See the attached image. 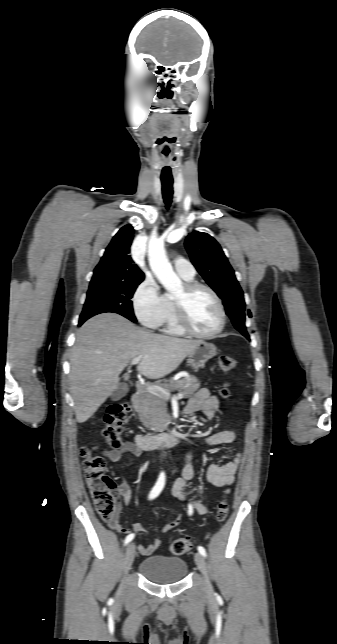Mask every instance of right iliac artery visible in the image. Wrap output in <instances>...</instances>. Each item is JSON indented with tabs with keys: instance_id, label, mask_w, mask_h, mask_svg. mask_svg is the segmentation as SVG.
I'll return each instance as SVG.
<instances>
[{
	"instance_id": "obj_1",
	"label": "right iliac artery",
	"mask_w": 337,
	"mask_h": 644,
	"mask_svg": "<svg viewBox=\"0 0 337 644\" xmlns=\"http://www.w3.org/2000/svg\"><path fill=\"white\" fill-rule=\"evenodd\" d=\"M164 485H165V474H164V472H161L156 484L154 485V487L152 488V490H151V492L149 494V499L151 500V499L156 498L160 494V492L162 491ZM133 538H134V534L128 535L125 538L124 543L128 544L129 542H131L133 540Z\"/></svg>"
}]
</instances>
